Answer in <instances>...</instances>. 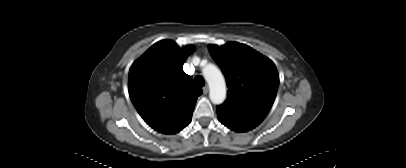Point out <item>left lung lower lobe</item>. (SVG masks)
<instances>
[{"mask_svg": "<svg viewBox=\"0 0 406 168\" xmlns=\"http://www.w3.org/2000/svg\"><path fill=\"white\" fill-rule=\"evenodd\" d=\"M217 116L222 124L237 132L249 131L260 124L258 121L236 116L218 109Z\"/></svg>", "mask_w": 406, "mask_h": 168, "instance_id": "1", "label": "left lung lower lobe"}]
</instances>
